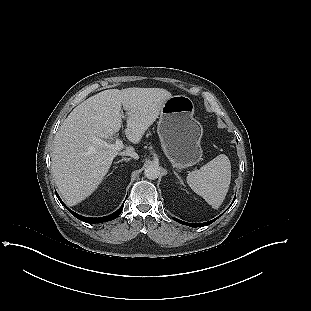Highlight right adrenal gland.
<instances>
[{"mask_svg":"<svg viewBox=\"0 0 311 311\" xmlns=\"http://www.w3.org/2000/svg\"><path fill=\"white\" fill-rule=\"evenodd\" d=\"M129 160H130V158H122L121 160L117 161L116 163H120V162H123V161L127 162Z\"/></svg>","mask_w":311,"mask_h":311,"instance_id":"obj_1","label":"right adrenal gland"}]
</instances>
